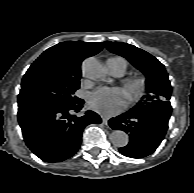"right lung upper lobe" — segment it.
<instances>
[{"label": "right lung upper lobe", "instance_id": "1", "mask_svg": "<svg viewBox=\"0 0 194 193\" xmlns=\"http://www.w3.org/2000/svg\"><path fill=\"white\" fill-rule=\"evenodd\" d=\"M101 42H62L47 49L28 69L22 79V85L35 75H65L81 77L80 65L86 56L100 52ZM22 90V89H21Z\"/></svg>", "mask_w": 194, "mask_h": 193}]
</instances>
